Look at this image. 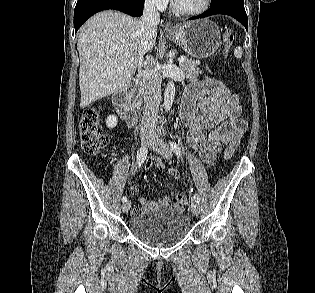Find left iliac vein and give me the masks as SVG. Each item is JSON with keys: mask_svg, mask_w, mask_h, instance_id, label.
Here are the masks:
<instances>
[{"mask_svg": "<svg viewBox=\"0 0 315 293\" xmlns=\"http://www.w3.org/2000/svg\"><path fill=\"white\" fill-rule=\"evenodd\" d=\"M150 148L162 155L165 159L169 160L172 158V149L170 146L156 136L152 138ZM191 211L195 216H198L200 213V205L195 200L191 202Z\"/></svg>", "mask_w": 315, "mask_h": 293, "instance_id": "4c4485c4", "label": "left iliac vein"}]
</instances>
